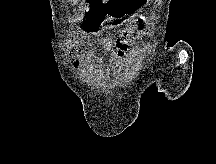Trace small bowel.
<instances>
[{
    "label": "small bowel",
    "instance_id": "obj_1",
    "mask_svg": "<svg viewBox=\"0 0 216 164\" xmlns=\"http://www.w3.org/2000/svg\"><path fill=\"white\" fill-rule=\"evenodd\" d=\"M143 22V18L129 19V25L122 31L120 40H117L113 34L107 35L103 40V48L105 51H110L113 60L123 58L127 52L128 46L133 43L136 21Z\"/></svg>",
    "mask_w": 216,
    "mask_h": 164
}]
</instances>
